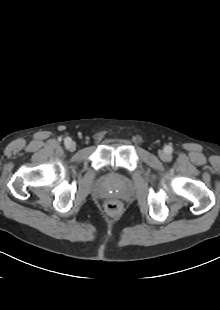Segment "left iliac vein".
<instances>
[{"instance_id":"left-iliac-vein-1","label":"left iliac vein","mask_w":220,"mask_h":310,"mask_svg":"<svg viewBox=\"0 0 220 310\" xmlns=\"http://www.w3.org/2000/svg\"><path fill=\"white\" fill-rule=\"evenodd\" d=\"M159 156L163 160H168L169 159V154H167L165 151H159Z\"/></svg>"}]
</instances>
